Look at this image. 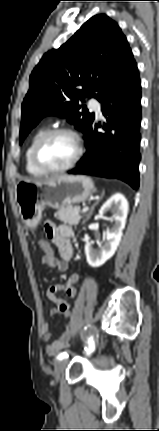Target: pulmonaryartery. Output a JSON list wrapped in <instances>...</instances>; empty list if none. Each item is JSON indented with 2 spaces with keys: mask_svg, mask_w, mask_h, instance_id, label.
<instances>
[{
  "mask_svg": "<svg viewBox=\"0 0 159 431\" xmlns=\"http://www.w3.org/2000/svg\"><path fill=\"white\" fill-rule=\"evenodd\" d=\"M89 106L98 116H101V104L98 100L90 99Z\"/></svg>",
  "mask_w": 159,
  "mask_h": 431,
  "instance_id": "1",
  "label": "pulmonary artery"
}]
</instances>
